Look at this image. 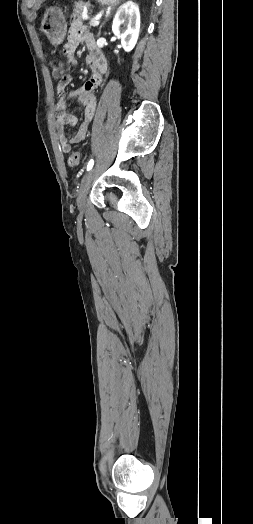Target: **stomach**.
<instances>
[{
    "instance_id": "stomach-1",
    "label": "stomach",
    "mask_w": 253,
    "mask_h": 524,
    "mask_svg": "<svg viewBox=\"0 0 253 524\" xmlns=\"http://www.w3.org/2000/svg\"><path fill=\"white\" fill-rule=\"evenodd\" d=\"M97 2L103 6H115L120 0H97ZM41 31L52 44L58 45L63 42L67 23L61 9L55 7L46 9L41 21Z\"/></svg>"
}]
</instances>
